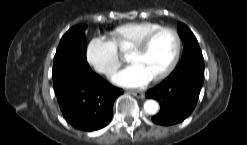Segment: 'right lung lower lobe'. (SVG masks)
Segmentation results:
<instances>
[{"label": "right lung lower lobe", "mask_w": 247, "mask_h": 145, "mask_svg": "<svg viewBox=\"0 0 247 145\" xmlns=\"http://www.w3.org/2000/svg\"><path fill=\"white\" fill-rule=\"evenodd\" d=\"M54 90L66 120L76 129L99 130L112 117L115 99L123 93L84 64H73L53 74Z\"/></svg>", "instance_id": "98d812e1"}]
</instances>
